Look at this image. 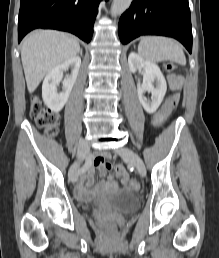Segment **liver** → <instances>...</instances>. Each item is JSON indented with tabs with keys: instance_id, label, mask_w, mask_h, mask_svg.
Returning <instances> with one entry per match:
<instances>
[{
	"instance_id": "1",
	"label": "liver",
	"mask_w": 219,
	"mask_h": 258,
	"mask_svg": "<svg viewBox=\"0 0 219 258\" xmlns=\"http://www.w3.org/2000/svg\"><path fill=\"white\" fill-rule=\"evenodd\" d=\"M79 42L72 36L53 30H36L25 37L21 59L29 93L56 66L76 56Z\"/></svg>"
}]
</instances>
